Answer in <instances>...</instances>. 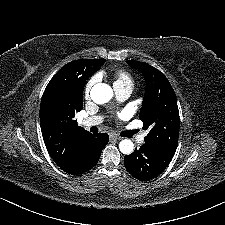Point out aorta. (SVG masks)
Listing matches in <instances>:
<instances>
[{
	"label": "aorta",
	"mask_w": 225,
	"mask_h": 225,
	"mask_svg": "<svg viewBox=\"0 0 225 225\" xmlns=\"http://www.w3.org/2000/svg\"><path fill=\"white\" fill-rule=\"evenodd\" d=\"M90 96L95 103L104 104L110 101L113 97V90L108 84L97 83L92 87ZM133 149L134 144L129 139H124L119 143V150L125 155L131 154Z\"/></svg>",
	"instance_id": "1"
}]
</instances>
